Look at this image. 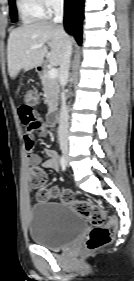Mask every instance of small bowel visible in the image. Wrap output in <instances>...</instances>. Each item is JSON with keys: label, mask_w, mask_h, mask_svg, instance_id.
Here are the masks:
<instances>
[{"label": "small bowel", "mask_w": 134, "mask_h": 281, "mask_svg": "<svg viewBox=\"0 0 134 281\" xmlns=\"http://www.w3.org/2000/svg\"><path fill=\"white\" fill-rule=\"evenodd\" d=\"M18 114L25 127L24 143L28 152L27 159L30 168L44 167L53 172H57L59 169V157L55 150L49 148L45 149V154L48 156V159L44 162L35 151L34 133L38 132L41 137L47 135V126L42 121L40 115L33 109V106H28L25 103L18 108Z\"/></svg>", "instance_id": "1"}]
</instances>
